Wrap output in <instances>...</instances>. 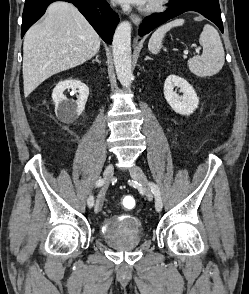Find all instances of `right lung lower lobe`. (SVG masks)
Listing matches in <instances>:
<instances>
[{
  "instance_id": "obj_1",
  "label": "right lung lower lobe",
  "mask_w": 249,
  "mask_h": 294,
  "mask_svg": "<svg viewBox=\"0 0 249 294\" xmlns=\"http://www.w3.org/2000/svg\"><path fill=\"white\" fill-rule=\"evenodd\" d=\"M55 1L74 4L93 26L100 37L111 44L115 27L120 21L106 0H26L22 16L21 37L44 13L48 5Z\"/></svg>"
}]
</instances>
